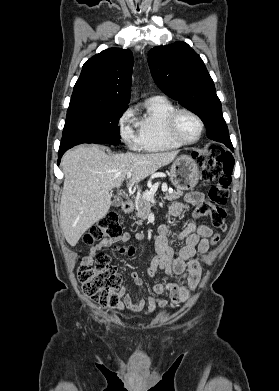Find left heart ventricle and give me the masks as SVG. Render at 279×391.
<instances>
[{"label":"left heart ventricle","instance_id":"left-heart-ventricle-1","mask_svg":"<svg viewBox=\"0 0 279 391\" xmlns=\"http://www.w3.org/2000/svg\"><path fill=\"white\" fill-rule=\"evenodd\" d=\"M177 132L184 140H194L199 133V124L191 115L182 113L178 118Z\"/></svg>","mask_w":279,"mask_h":391}]
</instances>
